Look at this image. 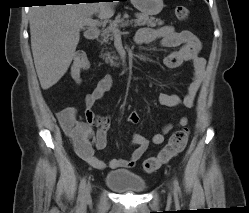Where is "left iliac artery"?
<instances>
[{"label": "left iliac artery", "instance_id": "left-iliac-artery-1", "mask_svg": "<svg viewBox=\"0 0 249 213\" xmlns=\"http://www.w3.org/2000/svg\"><path fill=\"white\" fill-rule=\"evenodd\" d=\"M174 189L176 192H180L179 182L177 179H174Z\"/></svg>", "mask_w": 249, "mask_h": 213}]
</instances>
